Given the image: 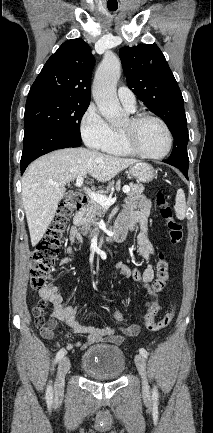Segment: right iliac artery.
Segmentation results:
<instances>
[{"label": "right iliac artery", "instance_id": "82829eb1", "mask_svg": "<svg viewBox=\"0 0 213 433\" xmlns=\"http://www.w3.org/2000/svg\"><path fill=\"white\" fill-rule=\"evenodd\" d=\"M65 354H66V350L64 348L59 350L56 354L55 362H59ZM46 400H47L48 404H51L53 401V389H52L51 384H49L47 387Z\"/></svg>", "mask_w": 213, "mask_h": 433}]
</instances>
